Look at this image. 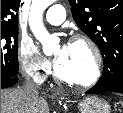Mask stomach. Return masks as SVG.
<instances>
[{
    "label": "stomach",
    "mask_w": 123,
    "mask_h": 113,
    "mask_svg": "<svg viewBox=\"0 0 123 113\" xmlns=\"http://www.w3.org/2000/svg\"><path fill=\"white\" fill-rule=\"evenodd\" d=\"M64 99V97H61ZM81 113H110L111 107L104 99L99 97H85L78 101Z\"/></svg>",
    "instance_id": "stomach-1"
}]
</instances>
